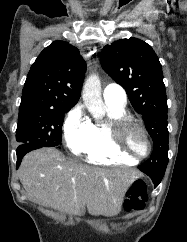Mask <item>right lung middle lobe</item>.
<instances>
[{
    "instance_id": "right-lung-middle-lobe-1",
    "label": "right lung middle lobe",
    "mask_w": 187,
    "mask_h": 242,
    "mask_svg": "<svg viewBox=\"0 0 187 242\" xmlns=\"http://www.w3.org/2000/svg\"><path fill=\"white\" fill-rule=\"evenodd\" d=\"M67 110L19 109L16 139L20 144L34 143L59 148Z\"/></svg>"
}]
</instances>
